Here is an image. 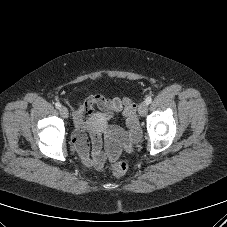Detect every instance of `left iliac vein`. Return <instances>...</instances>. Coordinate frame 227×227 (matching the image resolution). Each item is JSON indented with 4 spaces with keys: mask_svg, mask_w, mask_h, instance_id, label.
Returning a JSON list of instances; mask_svg holds the SVG:
<instances>
[{
    "mask_svg": "<svg viewBox=\"0 0 227 227\" xmlns=\"http://www.w3.org/2000/svg\"><path fill=\"white\" fill-rule=\"evenodd\" d=\"M147 111H148V104L145 101L141 102L138 108V112L140 116L142 117L145 116L147 114Z\"/></svg>",
    "mask_w": 227,
    "mask_h": 227,
    "instance_id": "4c4485c4",
    "label": "left iliac vein"
}]
</instances>
